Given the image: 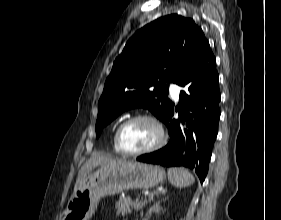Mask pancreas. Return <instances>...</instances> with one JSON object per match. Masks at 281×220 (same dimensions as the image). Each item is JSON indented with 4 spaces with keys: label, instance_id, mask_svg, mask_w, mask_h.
<instances>
[{
    "label": "pancreas",
    "instance_id": "obj_1",
    "mask_svg": "<svg viewBox=\"0 0 281 220\" xmlns=\"http://www.w3.org/2000/svg\"><path fill=\"white\" fill-rule=\"evenodd\" d=\"M156 193H152L150 194L151 197H149V199L147 200L146 198L143 199H139L137 198L135 201H133L132 199H130L129 197H119V200L116 202V214H127V213H131V211L134 209L135 211L140 210L146 203H148V201H151L154 197Z\"/></svg>",
    "mask_w": 281,
    "mask_h": 220
}]
</instances>
